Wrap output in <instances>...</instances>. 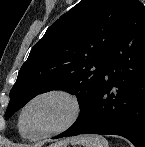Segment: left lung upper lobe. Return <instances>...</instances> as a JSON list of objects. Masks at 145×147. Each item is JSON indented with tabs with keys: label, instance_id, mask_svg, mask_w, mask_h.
Returning a JSON list of instances; mask_svg holds the SVG:
<instances>
[{
	"label": "left lung upper lobe",
	"instance_id": "5c2ea615",
	"mask_svg": "<svg viewBox=\"0 0 145 147\" xmlns=\"http://www.w3.org/2000/svg\"><path fill=\"white\" fill-rule=\"evenodd\" d=\"M131 0H81L60 17L34 45L10 91L5 119L29 100L51 90L76 95L88 109L103 68L121 30Z\"/></svg>",
	"mask_w": 145,
	"mask_h": 147
}]
</instances>
